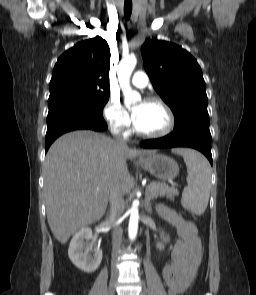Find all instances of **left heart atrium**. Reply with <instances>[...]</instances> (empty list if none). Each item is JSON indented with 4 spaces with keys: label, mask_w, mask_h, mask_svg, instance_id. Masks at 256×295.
<instances>
[{
    "label": "left heart atrium",
    "mask_w": 256,
    "mask_h": 295,
    "mask_svg": "<svg viewBox=\"0 0 256 295\" xmlns=\"http://www.w3.org/2000/svg\"><path fill=\"white\" fill-rule=\"evenodd\" d=\"M143 104H140L132 109V120L134 123L139 119L142 112Z\"/></svg>",
    "instance_id": "39dd6f15"
}]
</instances>
